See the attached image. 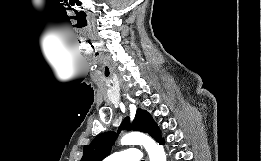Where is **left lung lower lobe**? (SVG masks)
Wrapping results in <instances>:
<instances>
[{"label": "left lung lower lobe", "instance_id": "obj_1", "mask_svg": "<svg viewBox=\"0 0 261 161\" xmlns=\"http://www.w3.org/2000/svg\"><path fill=\"white\" fill-rule=\"evenodd\" d=\"M159 142H160L161 144H163V140H160Z\"/></svg>", "mask_w": 261, "mask_h": 161}]
</instances>
